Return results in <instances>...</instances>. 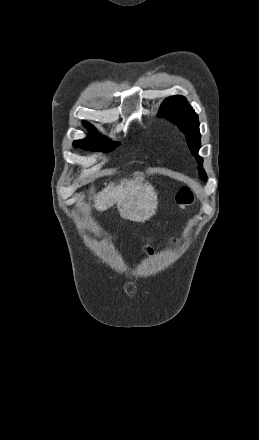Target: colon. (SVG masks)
<instances>
[{
  "instance_id": "1",
  "label": "colon",
  "mask_w": 259,
  "mask_h": 440,
  "mask_svg": "<svg viewBox=\"0 0 259 440\" xmlns=\"http://www.w3.org/2000/svg\"><path fill=\"white\" fill-rule=\"evenodd\" d=\"M195 194L194 191L188 187L183 186L179 189L176 195V202L180 208L185 209L194 203Z\"/></svg>"
}]
</instances>
